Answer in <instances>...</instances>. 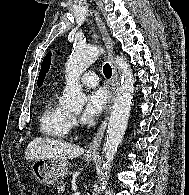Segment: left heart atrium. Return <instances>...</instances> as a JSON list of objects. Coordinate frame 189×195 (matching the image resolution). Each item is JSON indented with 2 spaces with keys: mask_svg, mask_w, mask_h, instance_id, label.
I'll return each instance as SVG.
<instances>
[{
  "mask_svg": "<svg viewBox=\"0 0 189 195\" xmlns=\"http://www.w3.org/2000/svg\"><path fill=\"white\" fill-rule=\"evenodd\" d=\"M109 95L104 87L91 90L81 115L82 122H90L101 114L106 106Z\"/></svg>",
  "mask_w": 189,
  "mask_h": 195,
  "instance_id": "left-heart-atrium-1",
  "label": "left heart atrium"
}]
</instances>
